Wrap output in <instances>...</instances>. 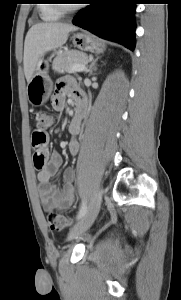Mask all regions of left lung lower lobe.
I'll use <instances>...</instances> for the list:
<instances>
[{"label":"left lung lower lobe","mask_w":181,"mask_h":300,"mask_svg":"<svg viewBox=\"0 0 181 300\" xmlns=\"http://www.w3.org/2000/svg\"><path fill=\"white\" fill-rule=\"evenodd\" d=\"M87 3L90 5L76 14L73 24L133 50L136 0H87Z\"/></svg>","instance_id":"obj_1"}]
</instances>
